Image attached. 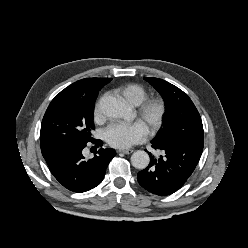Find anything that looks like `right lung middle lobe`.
Segmentation results:
<instances>
[{"label": "right lung middle lobe", "mask_w": 248, "mask_h": 248, "mask_svg": "<svg viewBox=\"0 0 248 248\" xmlns=\"http://www.w3.org/2000/svg\"><path fill=\"white\" fill-rule=\"evenodd\" d=\"M96 98L63 96L54 98L41 124V151L51 150L73 142L91 141Z\"/></svg>", "instance_id": "1"}]
</instances>
